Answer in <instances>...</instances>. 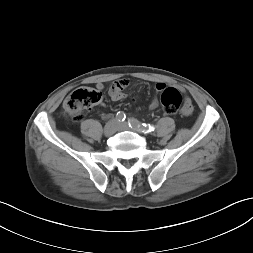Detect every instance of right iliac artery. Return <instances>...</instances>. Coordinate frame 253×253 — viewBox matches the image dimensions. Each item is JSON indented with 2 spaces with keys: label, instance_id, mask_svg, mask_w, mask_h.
I'll list each match as a JSON object with an SVG mask.
<instances>
[{
  "label": "right iliac artery",
  "instance_id": "82829eb1",
  "mask_svg": "<svg viewBox=\"0 0 253 253\" xmlns=\"http://www.w3.org/2000/svg\"><path fill=\"white\" fill-rule=\"evenodd\" d=\"M116 118H117V120H118L119 122H123V121L125 120V118H126V115H125L124 112L119 111V112H117V114H116Z\"/></svg>",
  "mask_w": 253,
  "mask_h": 253
}]
</instances>
